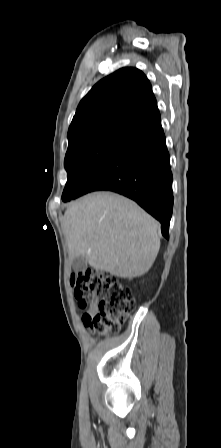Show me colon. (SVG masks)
Instances as JSON below:
<instances>
[{
	"label": "colon",
	"mask_w": 221,
	"mask_h": 448,
	"mask_svg": "<svg viewBox=\"0 0 221 448\" xmlns=\"http://www.w3.org/2000/svg\"><path fill=\"white\" fill-rule=\"evenodd\" d=\"M70 284L85 327L100 335L118 330L134 307L131 289L108 272L88 268L72 275Z\"/></svg>",
	"instance_id": "1"
}]
</instances>
